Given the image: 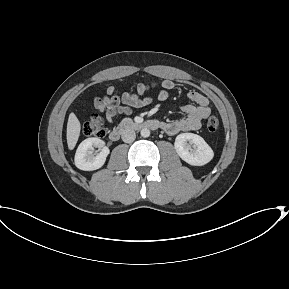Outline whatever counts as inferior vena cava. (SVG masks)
<instances>
[{
    "mask_svg": "<svg viewBox=\"0 0 289 289\" xmlns=\"http://www.w3.org/2000/svg\"><path fill=\"white\" fill-rule=\"evenodd\" d=\"M122 140L125 142V143H131L135 140L136 138V133L134 130L132 129H125L123 132H122Z\"/></svg>",
    "mask_w": 289,
    "mask_h": 289,
    "instance_id": "obj_1",
    "label": "inferior vena cava"
}]
</instances>
